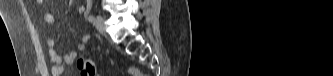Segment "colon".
<instances>
[{"mask_svg":"<svg viewBox=\"0 0 333 76\" xmlns=\"http://www.w3.org/2000/svg\"><path fill=\"white\" fill-rule=\"evenodd\" d=\"M77 67L81 76H95L96 75V66L93 59L88 57H81L77 61ZM130 76H141V73L135 67L129 68L128 71Z\"/></svg>","mask_w":333,"mask_h":76,"instance_id":"obj_1","label":"colon"}]
</instances>
